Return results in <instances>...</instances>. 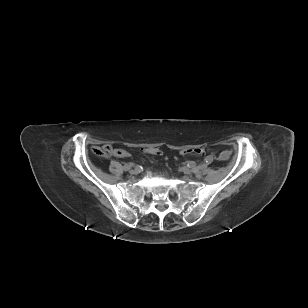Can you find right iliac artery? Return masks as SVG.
<instances>
[{
	"label": "right iliac artery",
	"mask_w": 308,
	"mask_h": 308,
	"mask_svg": "<svg viewBox=\"0 0 308 308\" xmlns=\"http://www.w3.org/2000/svg\"><path fill=\"white\" fill-rule=\"evenodd\" d=\"M132 166H133V163H128V164H125V165L123 166V169H124L125 171H127V170H129Z\"/></svg>",
	"instance_id": "1"
}]
</instances>
